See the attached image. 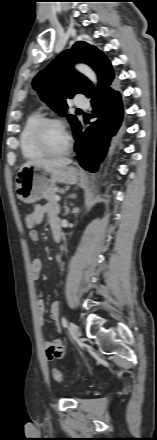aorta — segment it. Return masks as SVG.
Wrapping results in <instances>:
<instances>
[{"label":"aorta","mask_w":157,"mask_h":440,"mask_svg":"<svg viewBox=\"0 0 157 440\" xmlns=\"http://www.w3.org/2000/svg\"><path fill=\"white\" fill-rule=\"evenodd\" d=\"M75 68L82 74H84L95 86L97 85V77L95 72L85 64H77Z\"/></svg>","instance_id":"aorta-1"}]
</instances>
